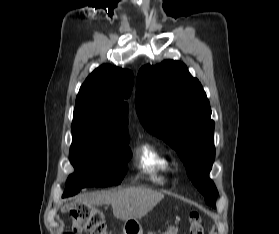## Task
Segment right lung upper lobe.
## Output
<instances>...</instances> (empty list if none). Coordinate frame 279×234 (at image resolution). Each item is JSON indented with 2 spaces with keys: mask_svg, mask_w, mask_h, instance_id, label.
<instances>
[{
  "mask_svg": "<svg viewBox=\"0 0 279 234\" xmlns=\"http://www.w3.org/2000/svg\"><path fill=\"white\" fill-rule=\"evenodd\" d=\"M134 77L129 70L104 64L82 84L76 98L73 124H81L100 138H123L128 134V104Z\"/></svg>",
  "mask_w": 279,
  "mask_h": 234,
  "instance_id": "cb5924a9",
  "label": "right lung upper lobe"
}]
</instances>
